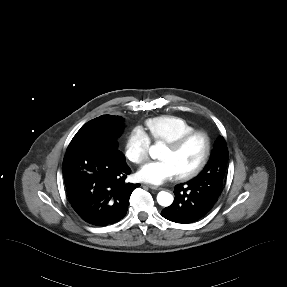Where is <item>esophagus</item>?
Listing matches in <instances>:
<instances>
[{"label": "esophagus", "mask_w": 287, "mask_h": 287, "mask_svg": "<svg viewBox=\"0 0 287 287\" xmlns=\"http://www.w3.org/2000/svg\"><path fill=\"white\" fill-rule=\"evenodd\" d=\"M147 187H149L152 190H161L162 189L161 187H158V186L152 185V184H148Z\"/></svg>", "instance_id": "esophagus-1"}]
</instances>
